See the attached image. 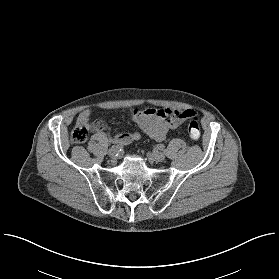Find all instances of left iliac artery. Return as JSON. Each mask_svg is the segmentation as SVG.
<instances>
[{
	"label": "left iliac artery",
	"mask_w": 279,
	"mask_h": 279,
	"mask_svg": "<svg viewBox=\"0 0 279 279\" xmlns=\"http://www.w3.org/2000/svg\"><path fill=\"white\" fill-rule=\"evenodd\" d=\"M157 148H158L159 150L163 151L164 148H165V146H164L163 144H158V145H157Z\"/></svg>",
	"instance_id": "44dca946"
}]
</instances>
